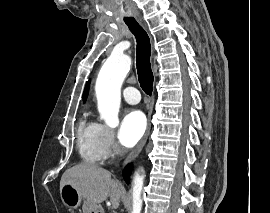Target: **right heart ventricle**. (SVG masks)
Masks as SVG:
<instances>
[{
	"label": "right heart ventricle",
	"mask_w": 270,
	"mask_h": 213,
	"mask_svg": "<svg viewBox=\"0 0 270 213\" xmlns=\"http://www.w3.org/2000/svg\"><path fill=\"white\" fill-rule=\"evenodd\" d=\"M77 150L87 162L103 163L109 156L104 143V126L86 113L77 129Z\"/></svg>",
	"instance_id": "1"
}]
</instances>
